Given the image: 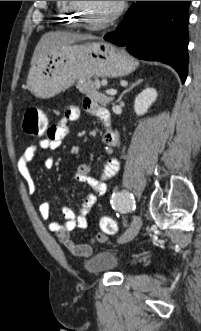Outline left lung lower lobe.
<instances>
[{
	"mask_svg": "<svg viewBox=\"0 0 201 331\" xmlns=\"http://www.w3.org/2000/svg\"><path fill=\"white\" fill-rule=\"evenodd\" d=\"M190 1H136L115 32L104 39L135 57L171 65L184 83L188 73Z\"/></svg>",
	"mask_w": 201,
	"mask_h": 331,
	"instance_id": "0a47b994",
	"label": "left lung lower lobe"
}]
</instances>
